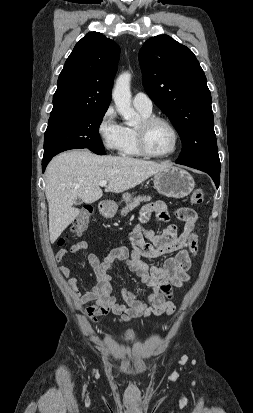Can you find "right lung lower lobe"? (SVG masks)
<instances>
[{
    "label": "right lung lower lobe",
    "mask_w": 253,
    "mask_h": 413,
    "mask_svg": "<svg viewBox=\"0 0 253 413\" xmlns=\"http://www.w3.org/2000/svg\"><path fill=\"white\" fill-rule=\"evenodd\" d=\"M91 151L98 154V155H105L106 154L104 148L103 149H91ZM55 155H53V156H55ZM53 156L43 158V160H42V171L43 172L45 171V168H46L47 164L49 163V161L52 159Z\"/></svg>",
    "instance_id": "right-lung-lower-lobe-1"
}]
</instances>
